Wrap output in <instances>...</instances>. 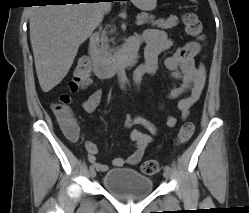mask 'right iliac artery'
I'll return each instance as SVG.
<instances>
[{"instance_id": "obj_1", "label": "right iliac artery", "mask_w": 249, "mask_h": 213, "mask_svg": "<svg viewBox=\"0 0 249 213\" xmlns=\"http://www.w3.org/2000/svg\"><path fill=\"white\" fill-rule=\"evenodd\" d=\"M94 169V166L93 165H90V171Z\"/></svg>"}]
</instances>
